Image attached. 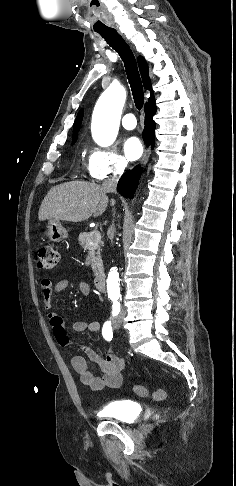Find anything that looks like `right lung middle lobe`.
<instances>
[{"label": "right lung middle lobe", "mask_w": 236, "mask_h": 486, "mask_svg": "<svg viewBox=\"0 0 236 486\" xmlns=\"http://www.w3.org/2000/svg\"><path fill=\"white\" fill-rule=\"evenodd\" d=\"M77 140V137H74L73 140H72V145L76 142Z\"/></svg>", "instance_id": "right-lung-middle-lobe-1"}]
</instances>
